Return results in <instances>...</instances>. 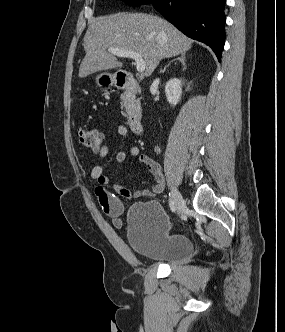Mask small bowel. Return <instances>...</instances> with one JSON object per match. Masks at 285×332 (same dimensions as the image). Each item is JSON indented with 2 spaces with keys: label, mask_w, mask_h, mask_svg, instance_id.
<instances>
[{
  "label": "small bowel",
  "mask_w": 285,
  "mask_h": 332,
  "mask_svg": "<svg viewBox=\"0 0 285 332\" xmlns=\"http://www.w3.org/2000/svg\"><path fill=\"white\" fill-rule=\"evenodd\" d=\"M116 130L119 136L122 138H126L129 135L128 128L123 124H118ZM108 153L109 145L108 143H106L98 150V162L93 166L91 170V178L97 184L95 194L99 200L102 209L112 219L113 225L117 228H121V215L124 211V203L120 197H123L129 201L141 197H153L163 191L164 178L162 175L160 164L148 155L140 154L138 146L131 145L127 149L120 150L116 154V161L118 163H123L128 156H138L139 163L147 167L149 172L154 176L156 183L150 189L137 190H131L125 186L113 184L112 188L114 192H111L105 188V186L110 183V178L105 173V164L103 163Z\"/></svg>",
  "instance_id": "obj_1"
}]
</instances>
